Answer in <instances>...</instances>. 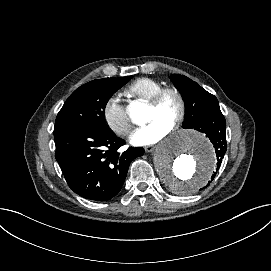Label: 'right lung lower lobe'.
Wrapping results in <instances>:
<instances>
[{
    "label": "right lung lower lobe",
    "instance_id": "obj_1",
    "mask_svg": "<svg viewBox=\"0 0 271 271\" xmlns=\"http://www.w3.org/2000/svg\"><path fill=\"white\" fill-rule=\"evenodd\" d=\"M124 144L109 130L73 129L55 136V157L76 194L104 202L120 192L130 162L144 154L141 147L118 153Z\"/></svg>",
    "mask_w": 271,
    "mask_h": 271
}]
</instances>
